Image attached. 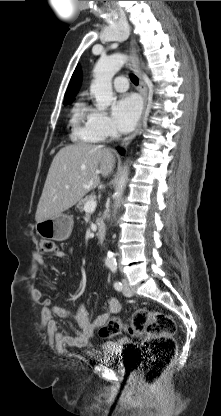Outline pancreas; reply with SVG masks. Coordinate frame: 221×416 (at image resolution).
I'll return each instance as SVG.
<instances>
[{"instance_id": "cf45deb5", "label": "pancreas", "mask_w": 221, "mask_h": 416, "mask_svg": "<svg viewBox=\"0 0 221 416\" xmlns=\"http://www.w3.org/2000/svg\"><path fill=\"white\" fill-rule=\"evenodd\" d=\"M95 194L91 193L90 195L86 196L85 198L81 199L78 204H77V208L79 209L80 212L84 211V205L86 204V202H88L91 199H95ZM97 222H101V218L97 219Z\"/></svg>"}]
</instances>
